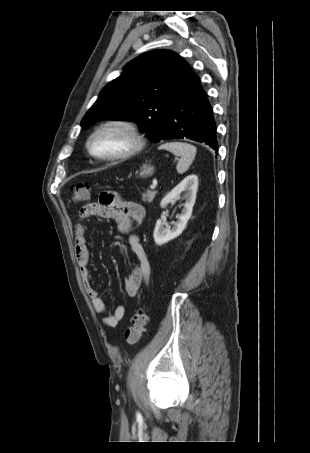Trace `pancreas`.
<instances>
[{
  "instance_id": "1",
  "label": "pancreas",
  "mask_w": 310,
  "mask_h": 453,
  "mask_svg": "<svg viewBox=\"0 0 310 453\" xmlns=\"http://www.w3.org/2000/svg\"><path fill=\"white\" fill-rule=\"evenodd\" d=\"M156 194H157V191L147 190L145 193L142 194V201L151 203L154 200Z\"/></svg>"
}]
</instances>
